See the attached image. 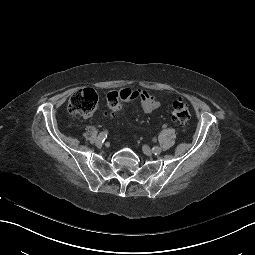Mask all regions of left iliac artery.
<instances>
[{
	"label": "left iliac artery",
	"instance_id": "1",
	"mask_svg": "<svg viewBox=\"0 0 255 255\" xmlns=\"http://www.w3.org/2000/svg\"><path fill=\"white\" fill-rule=\"evenodd\" d=\"M161 148L160 147H154L153 148V153L155 154V155H157V154H160L161 153V150H160Z\"/></svg>",
	"mask_w": 255,
	"mask_h": 255
}]
</instances>
